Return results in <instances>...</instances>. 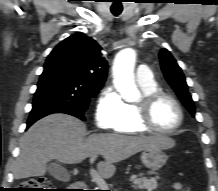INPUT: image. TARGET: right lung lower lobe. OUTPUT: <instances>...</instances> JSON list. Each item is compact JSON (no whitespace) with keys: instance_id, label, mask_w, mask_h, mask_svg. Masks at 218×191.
I'll return each mask as SVG.
<instances>
[{"instance_id":"right-lung-lower-lobe-1","label":"right lung lower lobe","mask_w":218,"mask_h":191,"mask_svg":"<svg viewBox=\"0 0 218 191\" xmlns=\"http://www.w3.org/2000/svg\"><path fill=\"white\" fill-rule=\"evenodd\" d=\"M52 113H65L72 116H75L81 120H85L83 113L75 111L70 108L62 107L55 103H42L36 106H33L30 116L27 121V128H29L34 122L41 119L42 117L52 114Z\"/></svg>"}]
</instances>
